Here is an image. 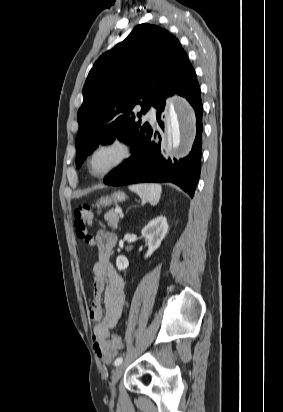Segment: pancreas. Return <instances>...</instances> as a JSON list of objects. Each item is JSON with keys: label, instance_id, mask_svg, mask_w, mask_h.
<instances>
[{"label": "pancreas", "instance_id": "obj_1", "mask_svg": "<svg viewBox=\"0 0 283 412\" xmlns=\"http://www.w3.org/2000/svg\"><path fill=\"white\" fill-rule=\"evenodd\" d=\"M104 218L107 221V224H108L109 227H111L112 229H117L118 221H119V214L118 213L111 210L105 215Z\"/></svg>", "mask_w": 283, "mask_h": 412}]
</instances>
